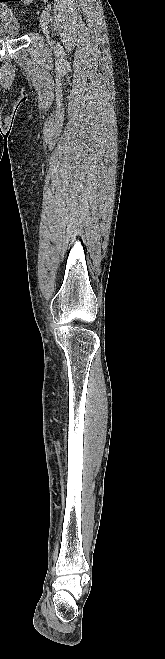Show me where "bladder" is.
Masks as SVG:
<instances>
[{
	"label": "bladder",
	"mask_w": 165,
	"mask_h": 659,
	"mask_svg": "<svg viewBox=\"0 0 165 659\" xmlns=\"http://www.w3.org/2000/svg\"><path fill=\"white\" fill-rule=\"evenodd\" d=\"M21 35V25L14 12L0 5V40L17 39Z\"/></svg>",
	"instance_id": "31cf9c89"
}]
</instances>
